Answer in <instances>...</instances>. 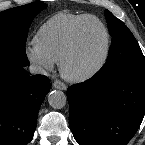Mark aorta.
I'll list each match as a JSON object with an SVG mask.
<instances>
[{
  "label": "aorta",
  "instance_id": "obj_1",
  "mask_svg": "<svg viewBox=\"0 0 145 145\" xmlns=\"http://www.w3.org/2000/svg\"><path fill=\"white\" fill-rule=\"evenodd\" d=\"M48 102L54 109H60L65 106L67 97L64 92L60 90H53L48 94Z\"/></svg>",
  "mask_w": 145,
  "mask_h": 145
}]
</instances>
